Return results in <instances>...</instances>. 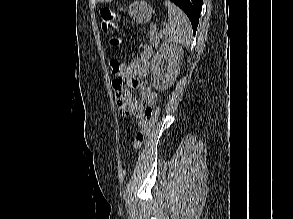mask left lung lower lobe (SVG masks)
<instances>
[{
  "instance_id": "0a47b994",
  "label": "left lung lower lobe",
  "mask_w": 293,
  "mask_h": 219,
  "mask_svg": "<svg viewBox=\"0 0 293 219\" xmlns=\"http://www.w3.org/2000/svg\"><path fill=\"white\" fill-rule=\"evenodd\" d=\"M179 6L189 17L193 34L196 33L203 0H170Z\"/></svg>"
}]
</instances>
